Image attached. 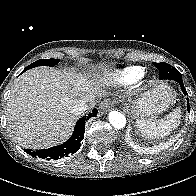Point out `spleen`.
Segmentation results:
<instances>
[{"label":"spleen","mask_w":196,"mask_h":196,"mask_svg":"<svg viewBox=\"0 0 196 196\" xmlns=\"http://www.w3.org/2000/svg\"><path fill=\"white\" fill-rule=\"evenodd\" d=\"M181 122V109L176 108L164 118L136 120L138 131L148 138H161L169 135Z\"/></svg>","instance_id":"3e777b00"}]
</instances>
